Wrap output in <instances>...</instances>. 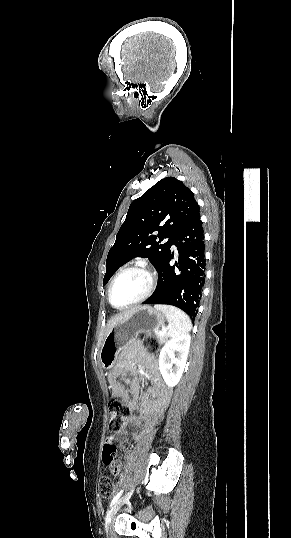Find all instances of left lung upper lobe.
<instances>
[{"label": "left lung upper lobe", "instance_id": "1", "mask_svg": "<svg viewBox=\"0 0 291 538\" xmlns=\"http://www.w3.org/2000/svg\"><path fill=\"white\" fill-rule=\"evenodd\" d=\"M198 209L194 194L174 177L160 180L135 199L107 255L103 285L134 257H147L158 270L174 235Z\"/></svg>", "mask_w": 291, "mask_h": 538}]
</instances>
